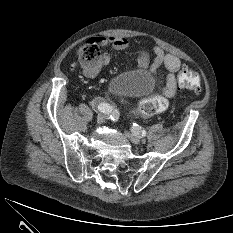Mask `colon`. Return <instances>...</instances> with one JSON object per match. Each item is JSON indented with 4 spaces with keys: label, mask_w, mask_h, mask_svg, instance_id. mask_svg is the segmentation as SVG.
Returning <instances> with one entry per match:
<instances>
[{
    "label": "colon",
    "mask_w": 233,
    "mask_h": 233,
    "mask_svg": "<svg viewBox=\"0 0 233 233\" xmlns=\"http://www.w3.org/2000/svg\"><path fill=\"white\" fill-rule=\"evenodd\" d=\"M100 45L95 40H89L83 44L78 51L79 61L87 66L94 65L101 60ZM178 84L181 89L197 91L200 89L199 75L188 68H183L178 77ZM168 102L164 97L152 96L143 99L136 107L134 113L140 117H149L166 110Z\"/></svg>",
    "instance_id": "1"
}]
</instances>
